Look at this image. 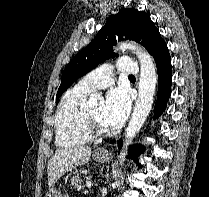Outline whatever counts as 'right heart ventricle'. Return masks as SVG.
Wrapping results in <instances>:
<instances>
[{"mask_svg":"<svg viewBox=\"0 0 209 197\" xmlns=\"http://www.w3.org/2000/svg\"><path fill=\"white\" fill-rule=\"evenodd\" d=\"M92 91L77 84L63 95L55 114V142L70 148L91 141L83 127L82 111Z\"/></svg>","mask_w":209,"mask_h":197,"instance_id":"obj_1","label":"right heart ventricle"}]
</instances>
